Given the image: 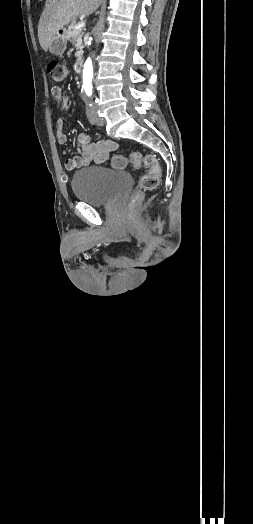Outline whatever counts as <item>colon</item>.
Listing matches in <instances>:
<instances>
[{
  "label": "colon",
  "instance_id": "obj_1",
  "mask_svg": "<svg viewBox=\"0 0 253 524\" xmlns=\"http://www.w3.org/2000/svg\"><path fill=\"white\" fill-rule=\"evenodd\" d=\"M47 69L52 80L56 83L62 82L69 73V68L65 64H61L59 62L49 63ZM110 164L114 169H123L128 164L135 169L140 168L142 165L147 169L140 178L138 189L131 196V206H134L141 201L143 191L155 189L161 180V168L157 159L151 155L143 158L141 153L134 151L131 152L128 156H114L111 159Z\"/></svg>",
  "mask_w": 253,
  "mask_h": 524
}]
</instances>
